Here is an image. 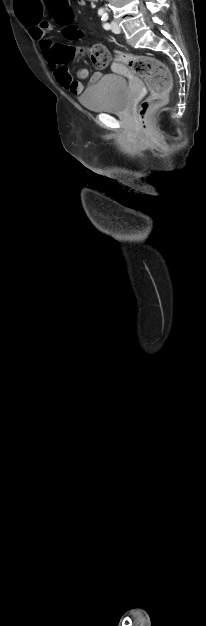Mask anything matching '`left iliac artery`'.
I'll return each instance as SVG.
<instances>
[{
  "label": "left iliac artery",
  "mask_w": 206,
  "mask_h": 626,
  "mask_svg": "<svg viewBox=\"0 0 206 626\" xmlns=\"http://www.w3.org/2000/svg\"><path fill=\"white\" fill-rule=\"evenodd\" d=\"M101 20L104 22L103 23V28L106 29V30H109L111 28V25L107 22L108 15L106 13L102 16Z\"/></svg>",
  "instance_id": "1"
}]
</instances>
